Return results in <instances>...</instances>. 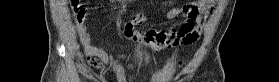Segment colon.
Masks as SVG:
<instances>
[{"label": "colon", "instance_id": "5ec220e1", "mask_svg": "<svg viewBox=\"0 0 279 82\" xmlns=\"http://www.w3.org/2000/svg\"><path fill=\"white\" fill-rule=\"evenodd\" d=\"M206 2L211 3V4H216V3L218 2V0H207ZM133 24H134L135 26L139 25V20H135V21L133 22Z\"/></svg>", "mask_w": 279, "mask_h": 82}]
</instances>
